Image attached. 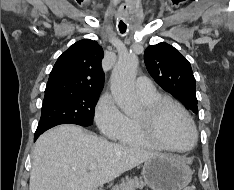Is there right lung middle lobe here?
<instances>
[{
	"label": "right lung middle lobe",
	"instance_id": "obj_1",
	"mask_svg": "<svg viewBox=\"0 0 234 190\" xmlns=\"http://www.w3.org/2000/svg\"><path fill=\"white\" fill-rule=\"evenodd\" d=\"M99 92H84L60 88H46L42 113L36 133H43L59 124H93Z\"/></svg>",
	"mask_w": 234,
	"mask_h": 190
}]
</instances>
